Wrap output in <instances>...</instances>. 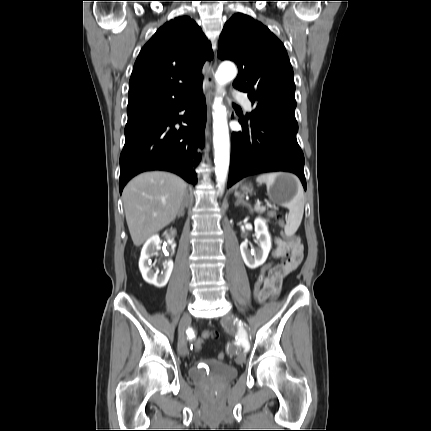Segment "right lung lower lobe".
<instances>
[{"mask_svg": "<svg viewBox=\"0 0 431 431\" xmlns=\"http://www.w3.org/2000/svg\"><path fill=\"white\" fill-rule=\"evenodd\" d=\"M193 97L174 108L127 121L120 155V193L132 177L150 170L170 171L195 185L193 168L200 161L196 150L204 144L206 103L200 91L197 96L200 106L195 111ZM181 111H185L184 116L179 115ZM182 121L188 126L174 127Z\"/></svg>", "mask_w": 431, "mask_h": 431, "instance_id": "right-lung-lower-lobe-1", "label": "right lung lower lobe"}]
</instances>
